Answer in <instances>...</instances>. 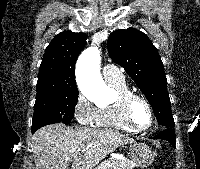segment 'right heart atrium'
Wrapping results in <instances>:
<instances>
[{"label": "right heart atrium", "instance_id": "1", "mask_svg": "<svg viewBox=\"0 0 200 169\" xmlns=\"http://www.w3.org/2000/svg\"><path fill=\"white\" fill-rule=\"evenodd\" d=\"M98 109L83 94L79 93L76 97L73 113L77 122L81 125H92L95 123Z\"/></svg>", "mask_w": 200, "mask_h": 169}]
</instances>
